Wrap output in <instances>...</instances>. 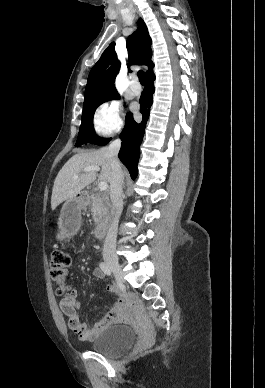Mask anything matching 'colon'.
<instances>
[{
    "instance_id": "colon-1",
    "label": "colon",
    "mask_w": 265,
    "mask_h": 388,
    "mask_svg": "<svg viewBox=\"0 0 265 388\" xmlns=\"http://www.w3.org/2000/svg\"><path fill=\"white\" fill-rule=\"evenodd\" d=\"M71 263L72 257L67 252L55 250L50 256V277L56 284V292L58 295L66 296L71 291L67 284V271Z\"/></svg>"
}]
</instances>
